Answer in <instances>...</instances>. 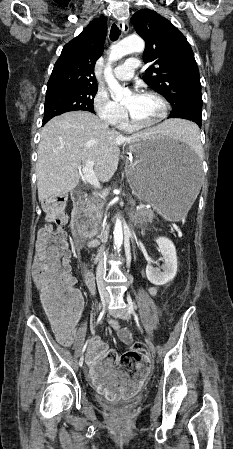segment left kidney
<instances>
[{"instance_id":"5707ae66","label":"left kidney","mask_w":233,"mask_h":449,"mask_svg":"<svg viewBox=\"0 0 233 449\" xmlns=\"http://www.w3.org/2000/svg\"><path fill=\"white\" fill-rule=\"evenodd\" d=\"M156 243L158 251L162 254L163 264L158 268L148 264L146 276L152 284L163 286L172 281L177 273L176 248L173 242L166 237H158Z\"/></svg>"}]
</instances>
